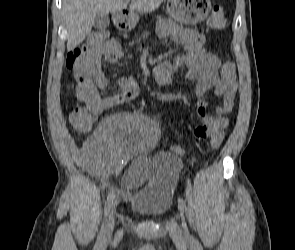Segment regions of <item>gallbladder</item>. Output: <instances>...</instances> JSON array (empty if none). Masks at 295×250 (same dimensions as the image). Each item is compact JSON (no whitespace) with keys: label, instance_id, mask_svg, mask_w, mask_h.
Returning a JSON list of instances; mask_svg holds the SVG:
<instances>
[{"label":"gallbladder","instance_id":"obj_1","mask_svg":"<svg viewBox=\"0 0 295 250\" xmlns=\"http://www.w3.org/2000/svg\"><path fill=\"white\" fill-rule=\"evenodd\" d=\"M110 19L108 15H96L94 18V27L97 29H105L109 26Z\"/></svg>","mask_w":295,"mask_h":250}]
</instances>
